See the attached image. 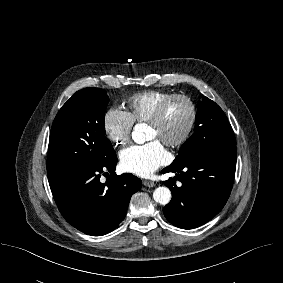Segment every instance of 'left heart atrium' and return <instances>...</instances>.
<instances>
[{
  "instance_id": "left-heart-atrium-1",
  "label": "left heart atrium",
  "mask_w": 283,
  "mask_h": 283,
  "mask_svg": "<svg viewBox=\"0 0 283 283\" xmlns=\"http://www.w3.org/2000/svg\"><path fill=\"white\" fill-rule=\"evenodd\" d=\"M168 158V152L162 143L156 139L142 145L132 146L120 155L122 168L141 177L150 176Z\"/></svg>"
}]
</instances>
